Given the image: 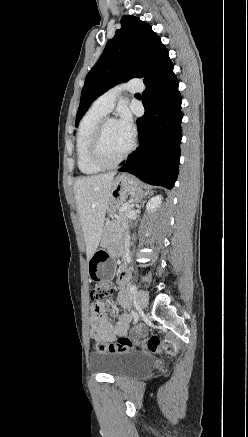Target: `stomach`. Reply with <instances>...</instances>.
Listing matches in <instances>:
<instances>
[{
    "label": "stomach",
    "instance_id": "1",
    "mask_svg": "<svg viewBox=\"0 0 248 437\" xmlns=\"http://www.w3.org/2000/svg\"><path fill=\"white\" fill-rule=\"evenodd\" d=\"M113 183L111 199L107 206V210L111 214L117 211L118 207L128 195L140 191L137 180L127 174L118 175ZM108 241L112 240L108 239ZM89 263L90 264L87 265V272L89 273V279H95V286H110V277L112 276V272L116 269V264L108 249L103 248L96 250L89 259Z\"/></svg>",
    "mask_w": 248,
    "mask_h": 437
}]
</instances>
